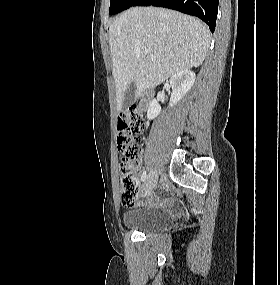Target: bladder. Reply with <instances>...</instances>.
<instances>
[{
    "instance_id": "31cf9c89",
    "label": "bladder",
    "mask_w": 280,
    "mask_h": 285,
    "mask_svg": "<svg viewBox=\"0 0 280 285\" xmlns=\"http://www.w3.org/2000/svg\"><path fill=\"white\" fill-rule=\"evenodd\" d=\"M171 222L169 214L149 206H140L123 215L124 227L144 233L160 231Z\"/></svg>"
}]
</instances>
